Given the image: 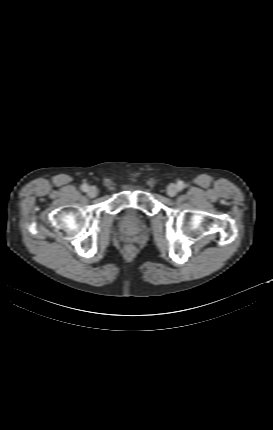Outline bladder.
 <instances>
[{
  "label": "bladder",
  "instance_id": "obj_1",
  "mask_svg": "<svg viewBox=\"0 0 273 430\" xmlns=\"http://www.w3.org/2000/svg\"><path fill=\"white\" fill-rule=\"evenodd\" d=\"M140 225V219L131 211L125 212L121 217V226L126 231L136 230Z\"/></svg>",
  "mask_w": 273,
  "mask_h": 430
}]
</instances>
